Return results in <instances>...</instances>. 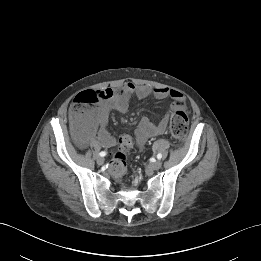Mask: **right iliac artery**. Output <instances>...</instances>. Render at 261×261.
<instances>
[{
  "label": "right iliac artery",
  "instance_id": "1",
  "mask_svg": "<svg viewBox=\"0 0 261 261\" xmlns=\"http://www.w3.org/2000/svg\"><path fill=\"white\" fill-rule=\"evenodd\" d=\"M99 155H100L101 157H104V156L106 155V152H105V151H102V152L99 153Z\"/></svg>",
  "mask_w": 261,
  "mask_h": 261
}]
</instances>
